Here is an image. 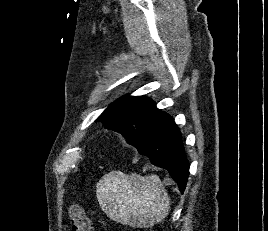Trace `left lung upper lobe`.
I'll return each instance as SVG.
<instances>
[{
  "mask_svg": "<svg viewBox=\"0 0 268 231\" xmlns=\"http://www.w3.org/2000/svg\"><path fill=\"white\" fill-rule=\"evenodd\" d=\"M168 116L151 99L126 95L112 103L96 121L121 133L134 145L146 140Z\"/></svg>",
  "mask_w": 268,
  "mask_h": 231,
  "instance_id": "1",
  "label": "left lung upper lobe"
}]
</instances>
